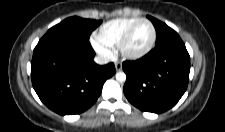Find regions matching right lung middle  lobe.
<instances>
[{
  "instance_id": "dd1d6c3e",
  "label": "right lung middle lobe",
  "mask_w": 225,
  "mask_h": 132,
  "mask_svg": "<svg viewBox=\"0 0 225 132\" xmlns=\"http://www.w3.org/2000/svg\"><path fill=\"white\" fill-rule=\"evenodd\" d=\"M101 24L100 20L70 17L50 28L43 38L60 37L89 41L90 34Z\"/></svg>"
}]
</instances>
